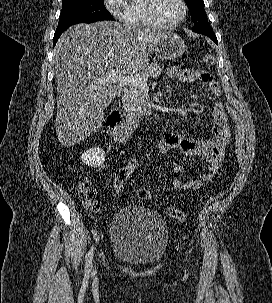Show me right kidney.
I'll use <instances>...</instances> for the list:
<instances>
[{
  "label": "right kidney",
  "mask_w": 272,
  "mask_h": 303,
  "mask_svg": "<svg viewBox=\"0 0 272 303\" xmlns=\"http://www.w3.org/2000/svg\"><path fill=\"white\" fill-rule=\"evenodd\" d=\"M83 163L89 167L97 168L104 164L106 153L99 147L91 148L81 155Z\"/></svg>",
  "instance_id": "1"
}]
</instances>
